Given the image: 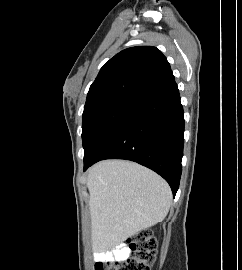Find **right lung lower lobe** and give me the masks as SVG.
<instances>
[{"mask_svg": "<svg viewBox=\"0 0 242 270\" xmlns=\"http://www.w3.org/2000/svg\"><path fill=\"white\" fill-rule=\"evenodd\" d=\"M183 114L174 82L136 104L95 156L84 162V171L103 159L135 161L161 175L175 196L182 172Z\"/></svg>", "mask_w": 242, "mask_h": 270, "instance_id": "1", "label": "right lung lower lobe"}]
</instances>
